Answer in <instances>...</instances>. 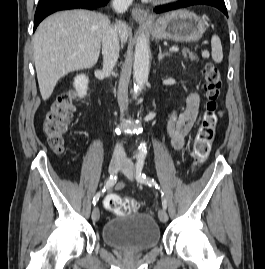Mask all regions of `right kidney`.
I'll list each match as a JSON object with an SVG mask.
<instances>
[{"mask_svg":"<svg viewBox=\"0 0 265 269\" xmlns=\"http://www.w3.org/2000/svg\"><path fill=\"white\" fill-rule=\"evenodd\" d=\"M74 87L78 93L80 98L84 97L87 94L88 89V77L81 74L75 77L74 79Z\"/></svg>","mask_w":265,"mask_h":269,"instance_id":"ca27d5eb","label":"right kidney"}]
</instances>
